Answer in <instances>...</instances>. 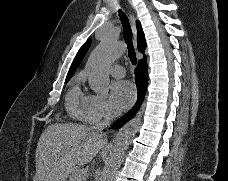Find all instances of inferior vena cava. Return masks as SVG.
Here are the masks:
<instances>
[{
	"instance_id": "inferior-vena-cava-1",
	"label": "inferior vena cava",
	"mask_w": 228,
	"mask_h": 181,
	"mask_svg": "<svg viewBox=\"0 0 228 181\" xmlns=\"http://www.w3.org/2000/svg\"><path fill=\"white\" fill-rule=\"evenodd\" d=\"M111 121H113V115H111V113H105L103 123H96V125H94L93 129L95 133H102L103 129L111 125Z\"/></svg>"
}]
</instances>
